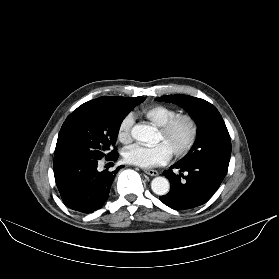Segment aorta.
<instances>
[{"instance_id":"762f6f07","label":"aorta","mask_w":279,"mask_h":279,"mask_svg":"<svg viewBox=\"0 0 279 279\" xmlns=\"http://www.w3.org/2000/svg\"><path fill=\"white\" fill-rule=\"evenodd\" d=\"M132 137L141 142L152 143L156 138V132L153 127L145 124L135 125L131 131ZM152 191L157 195L168 193L170 184L165 177H156L151 182Z\"/></svg>"}]
</instances>
